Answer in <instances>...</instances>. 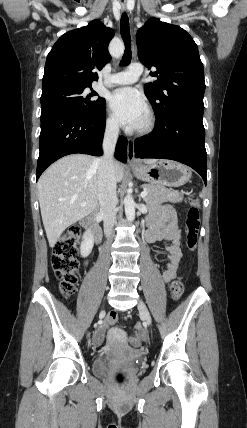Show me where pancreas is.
I'll use <instances>...</instances> for the list:
<instances>
[{"label":"pancreas","mask_w":247,"mask_h":428,"mask_svg":"<svg viewBox=\"0 0 247 428\" xmlns=\"http://www.w3.org/2000/svg\"><path fill=\"white\" fill-rule=\"evenodd\" d=\"M142 188L148 192L144 198L146 203H163L172 202L178 203L183 200V195L177 191H172L161 185L143 184Z\"/></svg>","instance_id":"pancreas-1"}]
</instances>
